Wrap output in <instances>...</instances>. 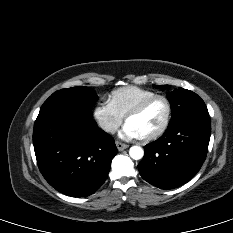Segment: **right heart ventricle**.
Masks as SVG:
<instances>
[{
	"mask_svg": "<svg viewBox=\"0 0 233 233\" xmlns=\"http://www.w3.org/2000/svg\"><path fill=\"white\" fill-rule=\"evenodd\" d=\"M156 95V92L138 86H125L113 90L109 102L124 118L126 114L145 99Z\"/></svg>",
	"mask_w": 233,
	"mask_h": 233,
	"instance_id": "e07e8e85",
	"label": "right heart ventricle"
}]
</instances>
